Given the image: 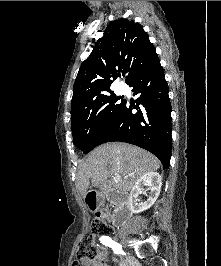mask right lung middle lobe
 Here are the masks:
<instances>
[{
  "mask_svg": "<svg viewBox=\"0 0 221 266\" xmlns=\"http://www.w3.org/2000/svg\"><path fill=\"white\" fill-rule=\"evenodd\" d=\"M118 100L109 91L97 97L86 112L71 118L73 143L84 154L98 145L101 137L117 119L125 103V100L117 103Z\"/></svg>",
  "mask_w": 221,
  "mask_h": 266,
  "instance_id": "obj_1",
  "label": "right lung middle lobe"
}]
</instances>
